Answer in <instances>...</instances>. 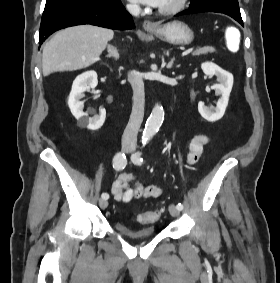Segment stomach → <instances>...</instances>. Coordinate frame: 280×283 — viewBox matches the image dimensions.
<instances>
[{
    "label": "stomach",
    "mask_w": 280,
    "mask_h": 283,
    "mask_svg": "<svg viewBox=\"0 0 280 283\" xmlns=\"http://www.w3.org/2000/svg\"><path fill=\"white\" fill-rule=\"evenodd\" d=\"M150 33L163 41L179 45H188L194 39L193 31L181 21H172L159 25Z\"/></svg>",
    "instance_id": "obj_1"
}]
</instances>
